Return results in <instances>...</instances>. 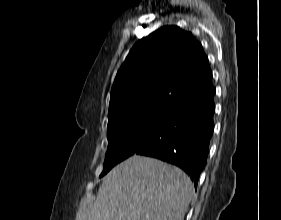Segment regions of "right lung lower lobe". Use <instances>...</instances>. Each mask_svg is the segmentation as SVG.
Listing matches in <instances>:
<instances>
[{"label": "right lung lower lobe", "mask_w": 281, "mask_h": 220, "mask_svg": "<svg viewBox=\"0 0 281 220\" xmlns=\"http://www.w3.org/2000/svg\"><path fill=\"white\" fill-rule=\"evenodd\" d=\"M215 88L180 101L162 126L134 154L154 157L183 169L195 188L205 168L213 134Z\"/></svg>", "instance_id": "1"}]
</instances>
